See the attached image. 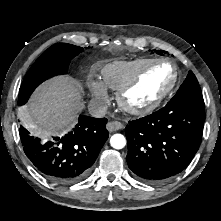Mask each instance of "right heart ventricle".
<instances>
[{
  "instance_id": "right-heart-ventricle-1",
  "label": "right heart ventricle",
  "mask_w": 221,
  "mask_h": 221,
  "mask_svg": "<svg viewBox=\"0 0 221 221\" xmlns=\"http://www.w3.org/2000/svg\"><path fill=\"white\" fill-rule=\"evenodd\" d=\"M150 60L152 59L137 58L109 62L101 68V81L107 88L118 90Z\"/></svg>"
}]
</instances>
